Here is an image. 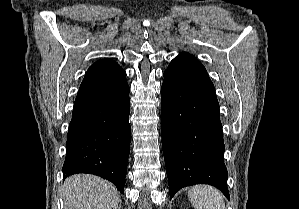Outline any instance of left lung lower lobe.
<instances>
[{"instance_id":"left-lung-lower-lobe-1","label":"left lung lower lobe","mask_w":299,"mask_h":209,"mask_svg":"<svg viewBox=\"0 0 299 209\" xmlns=\"http://www.w3.org/2000/svg\"><path fill=\"white\" fill-rule=\"evenodd\" d=\"M163 75L161 132L170 199L200 183L229 199L219 103L206 69L196 59L177 57Z\"/></svg>"}]
</instances>
